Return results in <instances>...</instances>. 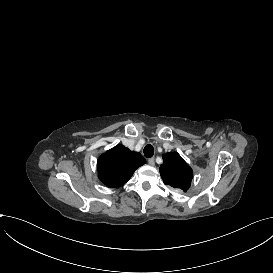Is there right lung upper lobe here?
Returning <instances> with one entry per match:
<instances>
[{"label": "right lung upper lobe", "mask_w": 273, "mask_h": 273, "mask_svg": "<svg viewBox=\"0 0 273 273\" xmlns=\"http://www.w3.org/2000/svg\"><path fill=\"white\" fill-rule=\"evenodd\" d=\"M144 163L145 160L139 153L117 145L99 157L97 161L99 179L108 187H119Z\"/></svg>", "instance_id": "cb5924a9"}]
</instances>
